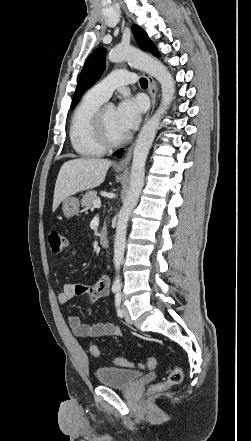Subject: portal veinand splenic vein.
Returning <instances> with one entry per match:
<instances>
[{
	"mask_svg": "<svg viewBox=\"0 0 251 441\" xmlns=\"http://www.w3.org/2000/svg\"><path fill=\"white\" fill-rule=\"evenodd\" d=\"M93 206L95 207V208H100L101 207V201L100 200H95L94 202H93Z\"/></svg>",
	"mask_w": 251,
	"mask_h": 441,
	"instance_id": "18ae733b",
	"label": "portal vein and splenic vein"
}]
</instances>
